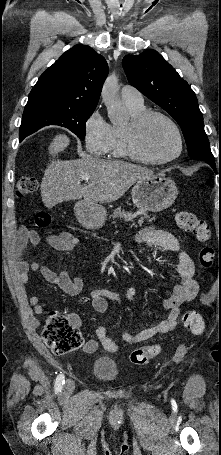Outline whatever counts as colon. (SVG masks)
Segmentation results:
<instances>
[{"label":"colon","instance_id":"obj_1","mask_svg":"<svg viewBox=\"0 0 221 455\" xmlns=\"http://www.w3.org/2000/svg\"><path fill=\"white\" fill-rule=\"evenodd\" d=\"M38 182L35 178L21 176L16 184V194L19 197L27 196L36 191ZM179 228L191 233L204 243L209 242L210 232L206 223L197 215L188 211H181L176 216ZM33 223L39 229H46L51 223L47 213H37ZM215 250L213 246L206 245L200 252L199 259L203 267L208 268L213 264ZM184 325L194 334H201L204 331V320L200 312L188 310L183 314ZM45 344L55 353L71 352L83 343V338L78 327L71 318L59 313L49 314L46 326L42 333ZM160 351L158 345H151L135 349L131 353V361L136 365H144L154 358Z\"/></svg>","mask_w":221,"mask_h":455}]
</instances>
